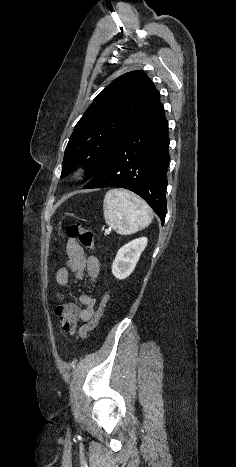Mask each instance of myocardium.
<instances>
[{
	"label": "myocardium",
	"instance_id": "myocardium-1",
	"mask_svg": "<svg viewBox=\"0 0 236 467\" xmlns=\"http://www.w3.org/2000/svg\"><path fill=\"white\" fill-rule=\"evenodd\" d=\"M85 173V166L78 165L72 170V176L77 178L82 176Z\"/></svg>",
	"mask_w": 236,
	"mask_h": 467
}]
</instances>
